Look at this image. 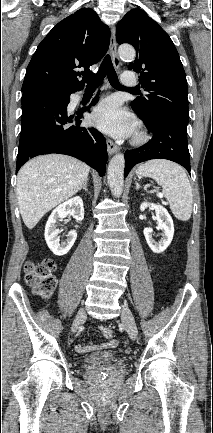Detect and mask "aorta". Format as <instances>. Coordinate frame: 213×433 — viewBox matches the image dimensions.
<instances>
[{
  "label": "aorta",
  "mask_w": 213,
  "mask_h": 433,
  "mask_svg": "<svg viewBox=\"0 0 213 433\" xmlns=\"http://www.w3.org/2000/svg\"><path fill=\"white\" fill-rule=\"evenodd\" d=\"M118 54L121 59L132 60L135 58V50L132 46L122 45L118 49ZM124 155L116 154L110 160L107 170V181L112 194L115 197H120L124 187Z\"/></svg>",
  "instance_id": "aorta-1"
}]
</instances>
